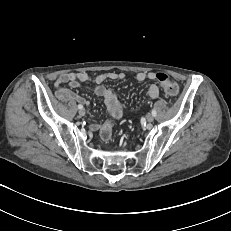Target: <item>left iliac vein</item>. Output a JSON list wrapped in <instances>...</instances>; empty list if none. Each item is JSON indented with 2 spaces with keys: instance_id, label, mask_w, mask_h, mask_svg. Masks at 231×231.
<instances>
[{
  "instance_id": "4c4485c4",
  "label": "left iliac vein",
  "mask_w": 231,
  "mask_h": 231,
  "mask_svg": "<svg viewBox=\"0 0 231 231\" xmlns=\"http://www.w3.org/2000/svg\"><path fill=\"white\" fill-rule=\"evenodd\" d=\"M147 121H148V123H152V122L154 121V116L151 115V114H149V115L147 116Z\"/></svg>"
}]
</instances>
